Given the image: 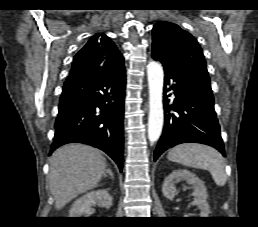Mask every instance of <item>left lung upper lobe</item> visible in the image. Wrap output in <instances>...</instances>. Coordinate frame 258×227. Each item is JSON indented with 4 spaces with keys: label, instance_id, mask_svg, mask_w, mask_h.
I'll use <instances>...</instances> for the list:
<instances>
[{
    "label": "left lung upper lobe",
    "instance_id": "5c2ea615",
    "mask_svg": "<svg viewBox=\"0 0 258 227\" xmlns=\"http://www.w3.org/2000/svg\"><path fill=\"white\" fill-rule=\"evenodd\" d=\"M152 56L163 66L210 82L197 40L178 25L158 22L153 27Z\"/></svg>",
    "mask_w": 258,
    "mask_h": 227
}]
</instances>
